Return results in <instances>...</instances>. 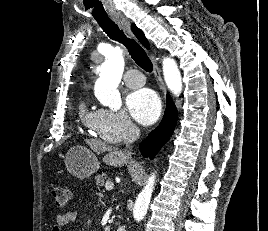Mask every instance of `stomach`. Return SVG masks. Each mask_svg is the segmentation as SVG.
Listing matches in <instances>:
<instances>
[{"label":"stomach","instance_id":"0dacf381","mask_svg":"<svg viewBox=\"0 0 268 231\" xmlns=\"http://www.w3.org/2000/svg\"><path fill=\"white\" fill-rule=\"evenodd\" d=\"M64 162L67 171L79 179L90 177L100 165L96 155L82 145L71 147L64 157Z\"/></svg>","mask_w":268,"mask_h":231}]
</instances>
